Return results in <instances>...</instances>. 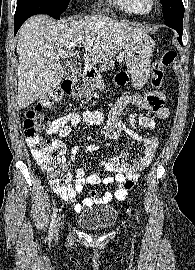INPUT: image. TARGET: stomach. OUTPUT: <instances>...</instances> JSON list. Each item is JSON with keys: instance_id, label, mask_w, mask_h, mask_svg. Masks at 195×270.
<instances>
[{"instance_id": "obj_1", "label": "stomach", "mask_w": 195, "mask_h": 270, "mask_svg": "<svg viewBox=\"0 0 195 270\" xmlns=\"http://www.w3.org/2000/svg\"><path fill=\"white\" fill-rule=\"evenodd\" d=\"M155 43L147 34L133 36L124 47V58L132 78L133 87L140 89L150 74V58ZM93 87L103 89L104 82L99 75L90 78Z\"/></svg>"}]
</instances>
